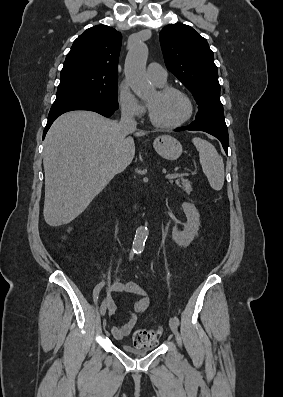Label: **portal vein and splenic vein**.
Returning a JSON list of instances; mask_svg holds the SVG:
<instances>
[{
  "mask_svg": "<svg viewBox=\"0 0 283 397\" xmlns=\"http://www.w3.org/2000/svg\"><path fill=\"white\" fill-rule=\"evenodd\" d=\"M181 176H184V173H170V174L165 175V178L174 179V178L181 177Z\"/></svg>",
  "mask_w": 283,
  "mask_h": 397,
  "instance_id": "obj_1",
  "label": "portal vein and splenic vein"
}]
</instances>
